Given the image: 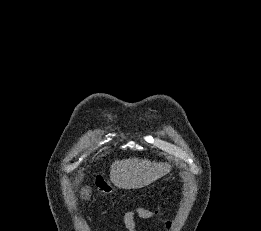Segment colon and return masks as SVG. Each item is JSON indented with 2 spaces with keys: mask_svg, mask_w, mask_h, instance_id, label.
I'll return each mask as SVG.
<instances>
[{
  "mask_svg": "<svg viewBox=\"0 0 261 231\" xmlns=\"http://www.w3.org/2000/svg\"><path fill=\"white\" fill-rule=\"evenodd\" d=\"M100 190L105 195H109L111 193V188L108 184H104L103 187L100 188Z\"/></svg>",
  "mask_w": 261,
  "mask_h": 231,
  "instance_id": "1",
  "label": "colon"
}]
</instances>
